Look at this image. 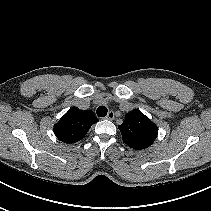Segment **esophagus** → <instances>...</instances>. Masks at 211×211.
<instances>
[{"mask_svg": "<svg viewBox=\"0 0 211 211\" xmlns=\"http://www.w3.org/2000/svg\"><path fill=\"white\" fill-rule=\"evenodd\" d=\"M105 118L108 120H113L115 118V113L110 111Z\"/></svg>", "mask_w": 211, "mask_h": 211, "instance_id": "1", "label": "esophagus"}]
</instances>
